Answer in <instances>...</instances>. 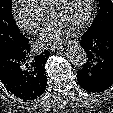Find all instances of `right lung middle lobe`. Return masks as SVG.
Here are the masks:
<instances>
[{
  "label": "right lung middle lobe",
  "instance_id": "dd1d6c3e",
  "mask_svg": "<svg viewBox=\"0 0 113 113\" xmlns=\"http://www.w3.org/2000/svg\"><path fill=\"white\" fill-rule=\"evenodd\" d=\"M11 10L12 0H0V54L25 37L16 25Z\"/></svg>",
  "mask_w": 113,
  "mask_h": 113
}]
</instances>
